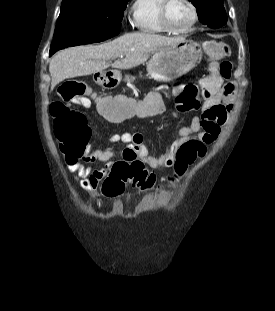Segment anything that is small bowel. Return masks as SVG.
Masks as SVG:
<instances>
[{"label": "small bowel", "mask_w": 275, "mask_h": 311, "mask_svg": "<svg viewBox=\"0 0 275 311\" xmlns=\"http://www.w3.org/2000/svg\"><path fill=\"white\" fill-rule=\"evenodd\" d=\"M201 86L204 95V101L200 108L201 116H194L189 125L179 127L175 139L166 145L161 155L150 154L148 147L144 144L143 135L139 132L115 133L109 138V143L127 145V148L122 150L124 161L139 160L149 168L157 169L171 167L176 160L181 144L190 137L195 136L206 143L212 142L220 133L232 110L236 85L233 82L224 83L221 76L212 73L202 80ZM77 105L90 106V104ZM197 106L187 100L177 102L176 110L172 114L177 118L182 112H196ZM208 137L213 138L210 141ZM118 161L122 160L117 159L116 151L112 146L105 149L87 148L80 157L67 158L66 167L84 190L94 193ZM96 162L104 163V165L102 167L87 165ZM101 191L103 193L102 188Z\"/></svg>", "instance_id": "obj_1"}]
</instances>
